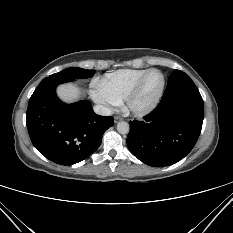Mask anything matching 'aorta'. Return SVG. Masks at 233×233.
I'll return each instance as SVG.
<instances>
[{"mask_svg":"<svg viewBox=\"0 0 233 233\" xmlns=\"http://www.w3.org/2000/svg\"><path fill=\"white\" fill-rule=\"evenodd\" d=\"M130 130V127H129V124L127 122H119L117 124V131L120 133V134H127Z\"/></svg>","mask_w":233,"mask_h":233,"instance_id":"aorta-1","label":"aorta"}]
</instances>
